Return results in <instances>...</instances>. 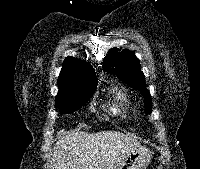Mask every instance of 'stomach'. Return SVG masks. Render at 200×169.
<instances>
[{
  "label": "stomach",
  "mask_w": 200,
  "mask_h": 169,
  "mask_svg": "<svg viewBox=\"0 0 200 169\" xmlns=\"http://www.w3.org/2000/svg\"><path fill=\"white\" fill-rule=\"evenodd\" d=\"M151 160V154L145 147L130 150L116 169H144Z\"/></svg>",
  "instance_id": "obj_1"
}]
</instances>
